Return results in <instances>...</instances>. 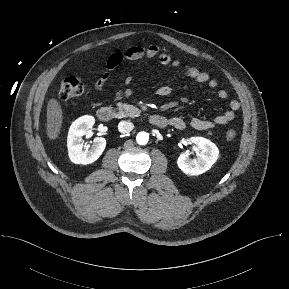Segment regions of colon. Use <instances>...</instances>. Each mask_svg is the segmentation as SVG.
I'll list each match as a JSON object with an SVG mask.
<instances>
[{"label": "colon", "instance_id": "1", "mask_svg": "<svg viewBox=\"0 0 289 289\" xmlns=\"http://www.w3.org/2000/svg\"><path fill=\"white\" fill-rule=\"evenodd\" d=\"M85 92V86L78 77L68 76L61 81L58 95L61 99L68 100L83 96ZM225 135L227 140L232 141L236 138L237 133L234 129H228Z\"/></svg>", "mask_w": 289, "mask_h": 289}]
</instances>
